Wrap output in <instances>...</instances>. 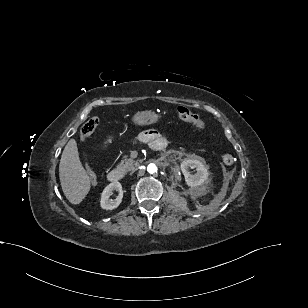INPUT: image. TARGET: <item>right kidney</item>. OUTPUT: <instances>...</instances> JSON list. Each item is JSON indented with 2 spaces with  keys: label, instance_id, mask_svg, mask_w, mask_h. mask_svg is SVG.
I'll return each mask as SVG.
<instances>
[{
  "label": "right kidney",
  "instance_id": "1",
  "mask_svg": "<svg viewBox=\"0 0 308 308\" xmlns=\"http://www.w3.org/2000/svg\"><path fill=\"white\" fill-rule=\"evenodd\" d=\"M114 190L118 191L119 194L117 198L113 200L110 199L109 197ZM122 197H123V191L121 183L118 181L111 182L104 188L103 192L101 193L100 206L102 209L105 210H113L120 205Z\"/></svg>",
  "mask_w": 308,
  "mask_h": 308
}]
</instances>
